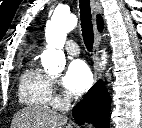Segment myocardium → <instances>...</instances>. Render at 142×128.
Masks as SVG:
<instances>
[{
	"label": "myocardium",
	"mask_w": 142,
	"mask_h": 128,
	"mask_svg": "<svg viewBox=\"0 0 142 128\" xmlns=\"http://www.w3.org/2000/svg\"><path fill=\"white\" fill-rule=\"evenodd\" d=\"M62 103H63L62 101H58V102H57L58 105H61Z\"/></svg>",
	"instance_id": "myocardium-1"
}]
</instances>
